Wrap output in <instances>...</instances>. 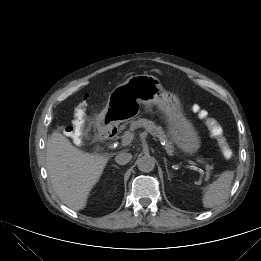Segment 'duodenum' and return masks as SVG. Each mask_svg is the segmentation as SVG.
Returning a JSON list of instances; mask_svg holds the SVG:
<instances>
[{
  "label": "duodenum",
  "mask_w": 261,
  "mask_h": 261,
  "mask_svg": "<svg viewBox=\"0 0 261 261\" xmlns=\"http://www.w3.org/2000/svg\"><path fill=\"white\" fill-rule=\"evenodd\" d=\"M114 134H115V132H113V131L104 132V133L102 134V138H103L104 140H106V141H110V140H112V138L114 137Z\"/></svg>",
  "instance_id": "1"
}]
</instances>
